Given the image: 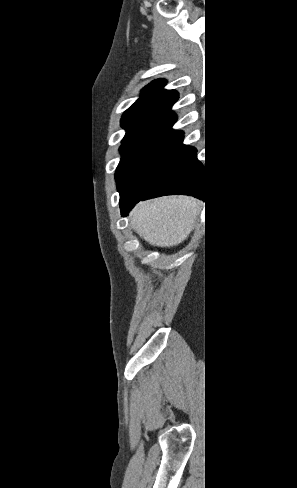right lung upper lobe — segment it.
I'll return each mask as SVG.
<instances>
[{"instance_id": "1", "label": "right lung upper lobe", "mask_w": 297, "mask_h": 488, "mask_svg": "<svg viewBox=\"0 0 297 488\" xmlns=\"http://www.w3.org/2000/svg\"><path fill=\"white\" fill-rule=\"evenodd\" d=\"M165 81L158 79L143 88L141 97L123 114L121 126L127 133H178L172 129L177 120L170 110L178 99L175 90H165Z\"/></svg>"}]
</instances>
